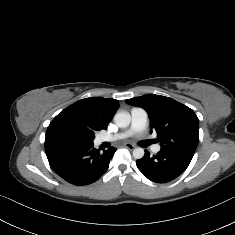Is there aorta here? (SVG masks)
Wrapping results in <instances>:
<instances>
[{
    "instance_id": "aorta-1",
    "label": "aorta",
    "mask_w": 235,
    "mask_h": 235,
    "mask_svg": "<svg viewBox=\"0 0 235 235\" xmlns=\"http://www.w3.org/2000/svg\"><path fill=\"white\" fill-rule=\"evenodd\" d=\"M115 124L120 128H126L130 125L131 116L127 111L119 112L114 116ZM144 156V149L143 148H135L133 150V157L135 159H141Z\"/></svg>"
}]
</instances>
